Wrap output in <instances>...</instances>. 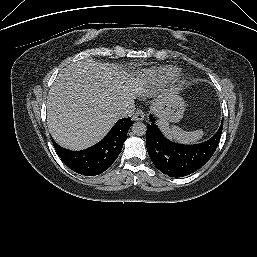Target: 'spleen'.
I'll return each mask as SVG.
<instances>
[{
	"instance_id": "spleen-1",
	"label": "spleen",
	"mask_w": 257,
	"mask_h": 257,
	"mask_svg": "<svg viewBox=\"0 0 257 257\" xmlns=\"http://www.w3.org/2000/svg\"><path fill=\"white\" fill-rule=\"evenodd\" d=\"M163 133L170 139H175L181 143H195L203 136L202 130H195V131H184L178 126H173L169 128L168 123L163 122L160 124Z\"/></svg>"
}]
</instances>
